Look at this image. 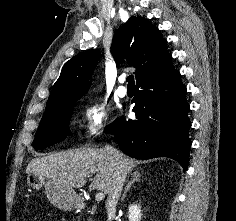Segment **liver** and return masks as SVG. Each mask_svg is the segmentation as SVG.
<instances>
[{
	"label": "liver",
	"mask_w": 236,
	"mask_h": 221,
	"mask_svg": "<svg viewBox=\"0 0 236 221\" xmlns=\"http://www.w3.org/2000/svg\"><path fill=\"white\" fill-rule=\"evenodd\" d=\"M127 171H132L137 161L123 155ZM37 173L66 187H83L90 175L95 174L89 188L108 193L113 176V167L104 149L77 148L34 158L26 173Z\"/></svg>",
	"instance_id": "1"
}]
</instances>
